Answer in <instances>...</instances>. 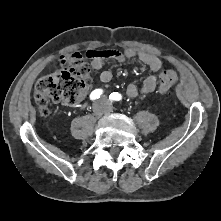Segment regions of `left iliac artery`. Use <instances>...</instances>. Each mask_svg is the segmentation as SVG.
<instances>
[{
	"instance_id": "left-iliac-artery-1",
	"label": "left iliac artery",
	"mask_w": 221,
	"mask_h": 221,
	"mask_svg": "<svg viewBox=\"0 0 221 221\" xmlns=\"http://www.w3.org/2000/svg\"><path fill=\"white\" fill-rule=\"evenodd\" d=\"M121 98H122V96L118 92H114L109 96V99L111 101H119V100H121Z\"/></svg>"
}]
</instances>
